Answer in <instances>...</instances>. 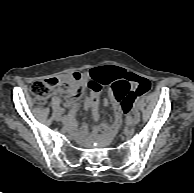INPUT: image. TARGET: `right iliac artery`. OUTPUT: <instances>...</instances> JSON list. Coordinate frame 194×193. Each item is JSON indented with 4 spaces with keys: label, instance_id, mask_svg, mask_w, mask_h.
Masks as SVG:
<instances>
[{
    "label": "right iliac artery",
    "instance_id": "obj_1",
    "mask_svg": "<svg viewBox=\"0 0 194 193\" xmlns=\"http://www.w3.org/2000/svg\"><path fill=\"white\" fill-rule=\"evenodd\" d=\"M73 118H74V115L71 114V113H68V115H64V116H63V119H64L65 121H71V120H73Z\"/></svg>",
    "mask_w": 194,
    "mask_h": 193
}]
</instances>
